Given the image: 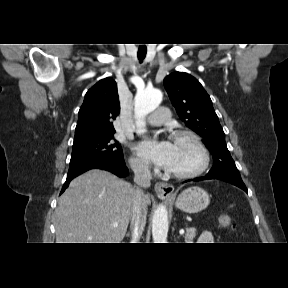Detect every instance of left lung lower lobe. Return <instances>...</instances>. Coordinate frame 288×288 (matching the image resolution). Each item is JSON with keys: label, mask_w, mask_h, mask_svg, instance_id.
Masks as SVG:
<instances>
[{"label": "left lung lower lobe", "mask_w": 288, "mask_h": 288, "mask_svg": "<svg viewBox=\"0 0 288 288\" xmlns=\"http://www.w3.org/2000/svg\"><path fill=\"white\" fill-rule=\"evenodd\" d=\"M208 179H219V180H223L225 182L231 183L239 188H241L242 190H244L245 192L247 191V188L245 186V184L243 183L242 180H237V179H232V178H225V177H213V176H209L206 175L204 177H198V178H194L193 181H201V180H208ZM190 181V180H189Z\"/></svg>", "instance_id": "0a47b994"}]
</instances>
